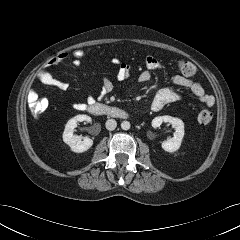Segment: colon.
I'll list each match as a JSON object with an SVG mask.
<instances>
[{"label":"colon","instance_id":"colon-1","mask_svg":"<svg viewBox=\"0 0 240 240\" xmlns=\"http://www.w3.org/2000/svg\"><path fill=\"white\" fill-rule=\"evenodd\" d=\"M66 59L69 60L75 67H79L87 56L83 48H76L65 53ZM178 69L186 76H193L196 72L195 66L189 61H180ZM47 101L45 99H37L29 102V108L34 117H40L47 108ZM212 112L203 107L200 109L197 119L201 125H207L212 121Z\"/></svg>","mask_w":240,"mask_h":240}]
</instances>
